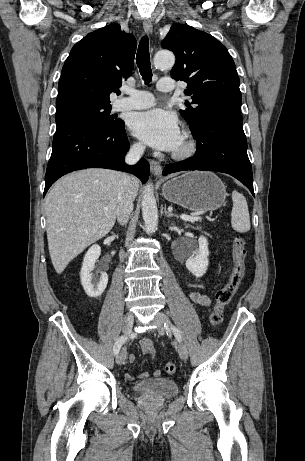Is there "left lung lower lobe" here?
<instances>
[{"instance_id": "left-lung-lower-lobe-1", "label": "left lung lower lobe", "mask_w": 305, "mask_h": 461, "mask_svg": "<svg viewBox=\"0 0 305 461\" xmlns=\"http://www.w3.org/2000/svg\"><path fill=\"white\" fill-rule=\"evenodd\" d=\"M197 142L195 155L185 161L168 164L163 175L183 170L218 171L232 175L253 194L252 167L239 109L212 112L192 128Z\"/></svg>"}]
</instances>
